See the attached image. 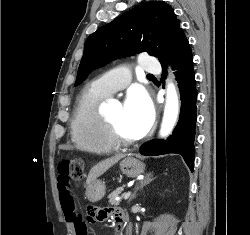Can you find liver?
<instances>
[{"label": "liver", "mask_w": 250, "mask_h": 235, "mask_svg": "<svg viewBox=\"0 0 250 235\" xmlns=\"http://www.w3.org/2000/svg\"><path fill=\"white\" fill-rule=\"evenodd\" d=\"M124 155H116L114 157L103 160L93 166L88 174L86 184L90 185L94 180H96L99 176L104 174L109 168H111L114 164H116L120 159H122Z\"/></svg>", "instance_id": "obj_1"}]
</instances>
